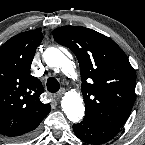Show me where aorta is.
<instances>
[{"label":"aorta","instance_id":"aorta-1","mask_svg":"<svg viewBox=\"0 0 145 145\" xmlns=\"http://www.w3.org/2000/svg\"><path fill=\"white\" fill-rule=\"evenodd\" d=\"M45 63L50 67H62L66 75L76 77V72L67 57L56 47H49L43 53ZM62 110L72 122H79L85 112L83 100L75 91L67 92L61 101Z\"/></svg>","mask_w":145,"mask_h":145}]
</instances>
